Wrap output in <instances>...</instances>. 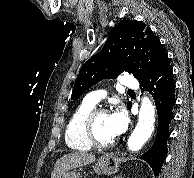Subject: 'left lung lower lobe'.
Segmentation results:
<instances>
[{
  "label": "left lung lower lobe",
  "instance_id": "left-lung-lower-lobe-1",
  "mask_svg": "<svg viewBox=\"0 0 194 178\" xmlns=\"http://www.w3.org/2000/svg\"><path fill=\"white\" fill-rule=\"evenodd\" d=\"M142 90L153 96L158 113L157 136L153 147L142 155L157 175L167 152L166 141L169 136V123L173 119L172 108L175 104V82L168 55L146 77L139 81ZM131 108V105L128 107Z\"/></svg>",
  "mask_w": 194,
  "mask_h": 178
}]
</instances>
